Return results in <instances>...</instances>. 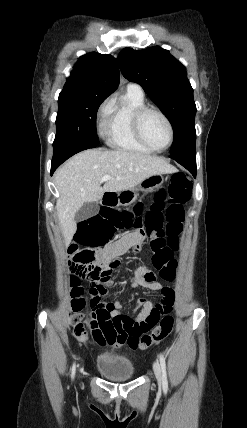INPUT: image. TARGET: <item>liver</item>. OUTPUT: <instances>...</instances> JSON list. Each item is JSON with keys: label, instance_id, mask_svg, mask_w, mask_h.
Wrapping results in <instances>:
<instances>
[{"label": "liver", "instance_id": "6515ba94", "mask_svg": "<svg viewBox=\"0 0 247 428\" xmlns=\"http://www.w3.org/2000/svg\"><path fill=\"white\" fill-rule=\"evenodd\" d=\"M176 171L163 158L121 149H89L73 156L54 176L59 193L57 216L65 245L71 243L76 232L75 214L84 203L102 199L105 192L132 189L150 176ZM105 175L113 178L102 187L100 180Z\"/></svg>", "mask_w": 247, "mask_h": 428}]
</instances>
